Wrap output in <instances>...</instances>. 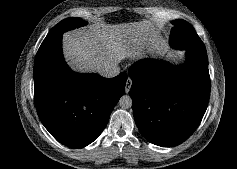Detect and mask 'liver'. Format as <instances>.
<instances>
[{
	"instance_id": "1",
	"label": "liver",
	"mask_w": 237,
	"mask_h": 169,
	"mask_svg": "<svg viewBox=\"0 0 237 169\" xmlns=\"http://www.w3.org/2000/svg\"><path fill=\"white\" fill-rule=\"evenodd\" d=\"M155 32L144 24L91 27L64 34L63 51L70 67L78 72L100 73L121 60L120 45L124 38H153Z\"/></svg>"
}]
</instances>
